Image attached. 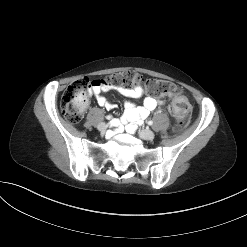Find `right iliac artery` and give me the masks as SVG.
Segmentation results:
<instances>
[{"label": "right iliac artery", "mask_w": 247, "mask_h": 247, "mask_svg": "<svg viewBox=\"0 0 247 247\" xmlns=\"http://www.w3.org/2000/svg\"><path fill=\"white\" fill-rule=\"evenodd\" d=\"M109 118H112V116L111 115L106 116V119H109Z\"/></svg>", "instance_id": "82829eb1"}]
</instances>
